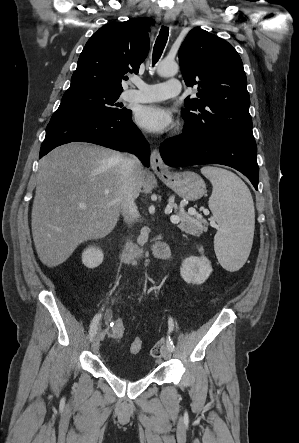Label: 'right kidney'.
Here are the masks:
<instances>
[{
    "label": "right kidney",
    "instance_id": "obj_1",
    "mask_svg": "<svg viewBox=\"0 0 299 443\" xmlns=\"http://www.w3.org/2000/svg\"><path fill=\"white\" fill-rule=\"evenodd\" d=\"M103 259L104 255L102 250L95 246H89L82 253V262L90 269L98 267Z\"/></svg>",
    "mask_w": 299,
    "mask_h": 443
}]
</instances>
